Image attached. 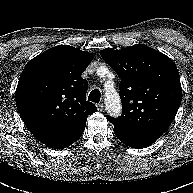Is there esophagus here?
<instances>
[{
	"label": "esophagus",
	"instance_id": "esophagus-1",
	"mask_svg": "<svg viewBox=\"0 0 193 193\" xmlns=\"http://www.w3.org/2000/svg\"><path fill=\"white\" fill-rule=\"evenodd\" d=\"M97 109H98V111L102 112L104 110V104L103 103H99L97 105Z\"/></svg>",
	"mask_w": 193,
	"mask_h": 193
}]
</instances>
